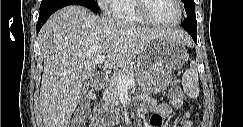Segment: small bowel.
Wrapping results in <instances>:
<instances>
[{"label": "small bowel", "instance_id": "1", "mask_svg": "<svg viewBox=\"0 0 243 127\" xmlns=\"http://www.w3.org/2000/svg\"><path fill=\"white\" fill-rule=\"evenodd\" d=\"M149 103L154 107V114L150 118L149 124L151 127H161L171 116L173 110H180L184 106L183 98L170 97L168 103L155 102L150 100ZM182 127H191L192 120L189 112L184 113L183 121L178 125ZM98 127V126H97Z\"/></svg>", "mask_w": 243, "mask_h": 127}]
</instances>
